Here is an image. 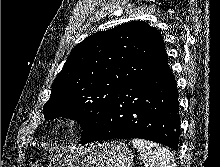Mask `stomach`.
<instances>
[{
    "label": "stomach",
    "mask_w": 220,
    "mask_h": 167,
    "mask_svg": "<svg viewBox=\"0 0 220 167\" xmlns=\"http://www.w3.org/2000/svg\"><path fill=\"white\" fill-rule=\"evenodd\" d=\"M133 155L121 142H107L56 155L48 167H132Z\"/></svg>",
    "instance_id": "0dacf381"
}]
</instances>
